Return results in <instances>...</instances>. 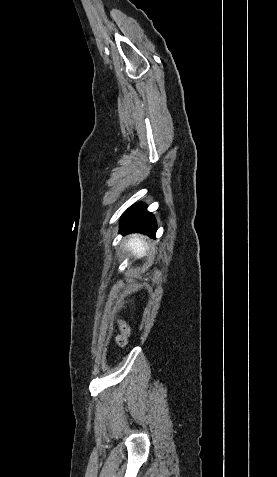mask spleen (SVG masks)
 <instances>
[{
  "label": "spleen",
  "mask_w": 277,
  "mask_h": 477,
  "mask_svg": "<svg viewBox=\"0 0 277 477\" xmlns=\"http://www.w3.org/2000/svg\"><path fill=\"white\" fill-rule=\"evenodd\" d=\"M126 248L131 251V253L137 258H142L146 255V251L148 250V244L143 239L139 237H133L128 240L126 244Z\"/></svg>",
  "instance_id": "3e777b00"
}]
</instances>
